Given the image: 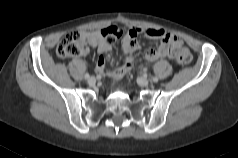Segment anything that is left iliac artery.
<instances>
[{
	"instance_id": "1",
	"label": "left iliac artery",
	"mask_w": 238,
	"mask_h": 158,
	"mask_svg": "<svg viewBox=\"0 0 238 158\" xmlns=\"http://www.w3.org/2000/svg\"><path fill=\"white\" fill-rule=\"evenodd\" d=\"M153 82H158V78L157 77H153Z\"/></svg>"
}]
</instances>
